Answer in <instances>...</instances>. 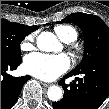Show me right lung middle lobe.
<instances>
[{"instance_id":"obj_1","label":"right lung middle lobe","mask_w":109,"mask_h":109,"mask_svg":"<svg viewBox=\"0 0 109 109\" xmlns=\"http://www.w3.org/2000/svg\"><path fill=\"white\" fill-rule=\"evenodd\" d=\"M33 31L30 26L1 19V61L21 60L20 44Z\"/></svg>"}]
</instances>
